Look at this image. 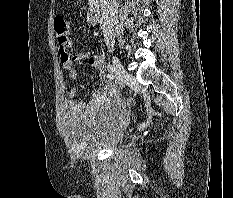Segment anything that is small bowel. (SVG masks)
I'll return each mask as SVG.
<instances>
[{
    "instance_id": "obj_1",
    "label": "small bowel",
    "mask_w": 233,
    "mask_h": 198,
    "mask_svg": "<svg viewBox=\"0 0 233 198\" xmlns=\"http://www.w3.org/2000/svg\"><path fill=\"white\" fill-rule=\"evenodd\" d=\"M70 45L71 40H69L67 43L59 42V57L60 62L66 72V76L69 79H76L77 71L74 68V64L85 59L87 57V54L79 53L75 55H70L67 51V48ZM88 64L91 68H94L99 72L98 89L88 102L75 100L77 90L75 88L71 89L68 93V98L70 99V107L73 110L93 111L102 103L116 99V93L105 75V66L102 56L99 54H95L88 57Z\"/></svg>"
}]
</instances>
